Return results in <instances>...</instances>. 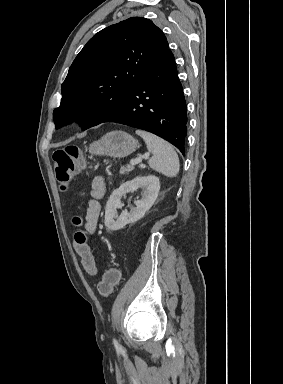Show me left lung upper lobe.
Masks as SVG:
<instances>
[{
  "label": "left lung upper lobe",
  "instance_id": "5c2ea615",
  "mask_svg": "<svg viewBox=\"0 0 283 384\" xmlns=\"http://www.w3.org/2000/svg\"><path fill=\"white\" fill-rule=\"evenodd\" d=\"M168 42L160 28L132 17L95 34L70 66L53 112L56 128L80 117L83 130L123 105L136 83L162 58Z\"/></svg>",
  "mask_w": 283,
  "mask_h": 384
}]
</instances>
